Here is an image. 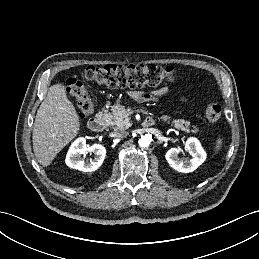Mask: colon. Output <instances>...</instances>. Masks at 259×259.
<instances>
[{"mask_svg": "<svg viewBox=\"0 0 259 259\" xmlns=\"http://www.w3.org/2000/svg\"><path fill=\"white\" fill-rule=\"evenodd\" d=\"M86 80L103 84L111 88H142L158 86L164 82L175 81L177 76L171 66L159 65H106L89 66L84 72ZM67 92L77 100V109L81 117L90 115L94 110V102L88 88L78 79L70 78L66 84ZM206 120L214 124L221 117V106L212 103L206 108Z\"/></svg>", "mask_w": 259, "mask_h": 259, "instance_id": "obj_1", "label": "colon"}]
</instances>
